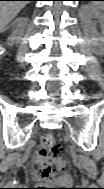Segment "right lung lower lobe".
Masks as SVG:
<instances>
[{"label":"right lung lower lobe","mask_w":104,"mask_h":189,"mask_svg":"<svg viewBox=\"0 0 104 189\" xmlns=\"http://www.w3.org/2000/svg\"><path fill=\"white\" fill-rule=\"evenodd\" d=\"M23 1H28V0H23ZM29 1H36V0H29Z\"/></svg>","instance_id":"right-lung-lower-lobe-1"}]
</instances>
